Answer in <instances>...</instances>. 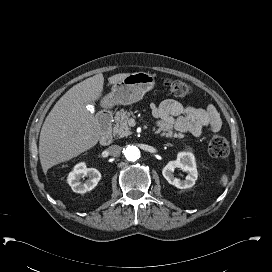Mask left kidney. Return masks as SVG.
Segmentation results:
<instances>
[{"mask_svg":"<svg viewBox=\"0 0 272 272\" xmlns=\"http://www.w3.org/2000/svg\"><path fill=\"white\" fill-rule=\"evenodd\" d=\"M175 168H180L182 171L187 172L184 180L174 177ZM162 174L164 178L172 185L179 189H186L194 186L198 178L195 157L191 152H179L177 159L169 161L163 168Z\"/></svg>","mask_w":272,"mask_h":272,"instance_id":"left-kidney-1","label":"left kidney"}]
</instances>
